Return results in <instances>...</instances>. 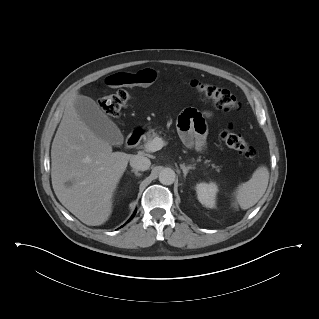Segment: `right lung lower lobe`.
<instances>
[{
    "label": "right lung lower lobe",
    "instance_id": "obj_1",
    "mask_svg": "<svg viewBox=\"0 0 319 319\" xmlns=\"http://www.w3.org/2000/svg\"><path fill=\"white\" fill-rule=\"evenodd\" d=\"M136 211L134 212V214L132 215V217L129 219V221L135 216Z\"/></svg>",
    "mask_w": 319,
    "mask_h": 319
}]
</instances>
